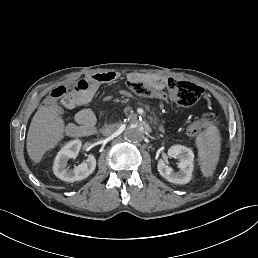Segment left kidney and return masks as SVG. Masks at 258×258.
Here are the masks:
<instances>
[{"label": "left kidney", "mask_w": 258, "mask_h": 258, "mask_svg": "<svg viewBox=\"0 0 258 258\" xmlns=\"http://www.w3.org/2000/svg\"><path fill=\"white\" fill-rule=\"evenodd\" d=\"M168 156L180 160L179 171L174 172L163 160L158 161L157 169L162 177L175 184L190 182L193 172L194 153L190 148L183 145H173L168 149Z\"/></svg>", "instance_id": "left-kidney-1"}]
</instances>
